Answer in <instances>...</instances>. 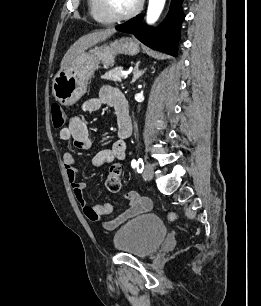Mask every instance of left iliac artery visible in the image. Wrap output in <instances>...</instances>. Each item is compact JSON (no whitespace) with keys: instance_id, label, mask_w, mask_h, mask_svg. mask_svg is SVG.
<instances>
[{"instance_id":"44dca946","label":"left iliac artery","mask_w":261,"mask_h":306,"mask_svg":"<svg viewBox=\"0 0 261 306\" xmlns=\"http://www.w3.org/2000/svg\"><path fill=\"white\" fill-rule=\"evenodd\" d=\"M131 165H132L133 168H136L139 173H141L143 171L144 163H143V160L141 158H139L137 161L132 160Z\"/></svg>"}]
</instances>
